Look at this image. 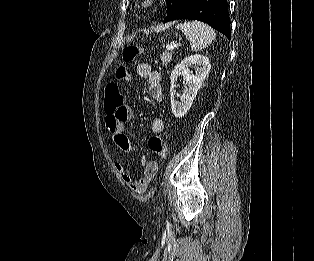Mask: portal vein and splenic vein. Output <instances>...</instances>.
<instances>
[{"mask_svg":"<svg viewBox=\"0 0 314 261\" xmlns=\"http://www.w3.org/2000/svg\"><path fill=\"white\" fill-rule=\"evenodd\" d=\"M179 45H180V44H175V43L171 42L170 45H167V46H166V49L172 50V49L178 47Z\"/></svg>","mask_w":314,"mask_h":261,"instance_id":"18ae733b","label":"portal vein and splenic vein"}]
</instances>
